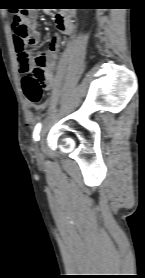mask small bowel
<instances>
[{"label":"small bowel","mask_w":145,"mask_h":278,"mask_svg":"<svg viewBox=\"0 0 145 278\" xmlns=\"http://www.w3.org/2000/svg\"><path fill=\"white\" fill-rule=\"evenodd\" d=\"M28 37L26 43L31 46H36L41 41V34L37 25L38 10L35 7H31L28 10ZM56 26L58 30L66 35H72L75 32L76 26L74 22L66 14H58L56 16ZM14 44L16 38L13 36ZM62 42L59 36H54L47 48V51L42 56L45 58V89H50L54 84V70L56 68V56L60 49ZM16 47V44H15ZM17 52V49H16ZM18 64L21 72H29L35 68L36 64L33 59H31L28 54L22 53L18 54Z\"/></svg>","instance_id":"1"}]
</instances>
